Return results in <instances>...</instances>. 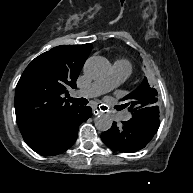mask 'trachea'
<instances>
[{
  "instance_id": "1",
  "label": "trachea",
  "mask_w": 193,
  "mask_h": 193,
  "mask_svg": "<svg viewBox=\"0 0 193 193\" xmlns=\"http://www.w3.org/2000/svg\"><path fill=\"white\" fill-rule=\"evenodd\" d=\"M69 101L74 104H78L81 106L87 105L88 100L86 98H72L69 97ZM102 110H107L108 108L106 106H101L100 107ZM114 109L119 110L118 106H115Z\"/></svg>"
}]
</instances>
